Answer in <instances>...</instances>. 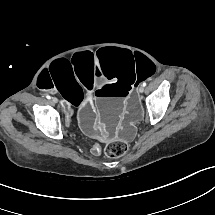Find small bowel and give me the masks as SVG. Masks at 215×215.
Returning <instances> with one entry per match:
<instances>
[{"mask_svg":"<svg viewBox=\"0 0 215 215\" xmlns=\"http://www.w3.org/2000/svg\"><path fill=\"white\" fill-rule=\"evenodd\" d=\"M93 149H96L98 154L100 153V148L98 146H95Z\"/></svg>","mask_w":215,"mask_h":215,"instance_id":"c3829d8e","label":"small bowel"}]
</instances>
